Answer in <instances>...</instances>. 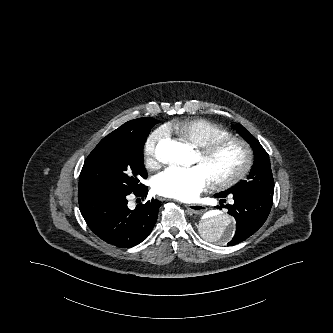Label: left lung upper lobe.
Segmentation results:
<instances>
[{
	"mask_svg": "<svg viewBox=\"0 0 333 333\" xmlns=\"http://www.w3.org/2000/svg\"><path fill=\"white\" fill-rule=\"evenodd\" d=\"M235 129L246 139L254 150L255 162L249 176L241 180L232 188L226 190L228 194L253 193L273 198L274 180L272 176L270 160L267 152L242 125L236 124Z\"/></svg>",
	"mask_w": 333,
	"mask_h": 333,
	"instance_id": "5c2ea615",
	"label": "left lung upper lobe"
}]
</instances>
